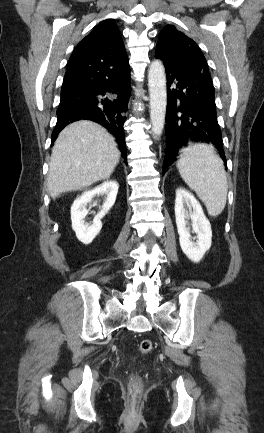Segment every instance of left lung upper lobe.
I'll use <instances>...</instances> for the list:
<instances>
[{
    "label": "left lung upper lobe",
    "instance_id": "obj_1",
    "mask_svg": "<svg viewBox=\"0 0 264 433\" xmlns=\"http://www.w3.org/2000/svg\"><path fill=\"white\" fill-rule=\"evenodd\" d=\"M156 57L179 71L210 77L208 65L197 44L174 26H165L159 34Z\"/></svg>",
    "mask_w": 264,
    "mask_h": 433
}]
</instances>
